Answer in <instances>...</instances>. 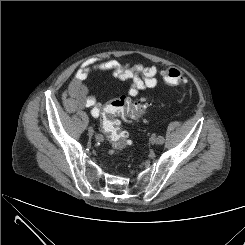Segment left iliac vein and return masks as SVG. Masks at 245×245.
Returning a JSON list of instances; mask_svg holds the SVG:
<instances>
[{
  "instance_id": "obj_1",
  "label": "left iliac vein",
  "mask_w": 245,
  "mask_h": 245,
  "mask_svg": "<svg viewBox=\"0 0 245 245\" xmlns=\"http://www.w3.org/2000/svg\"><path fill=\"white\" fill-rule=\"evenodd\" d=\"M150 142H151L152 144H156V143H157V136H156L155 134H153V135L151 136Z\"/></svg>"
}]
</instances>
